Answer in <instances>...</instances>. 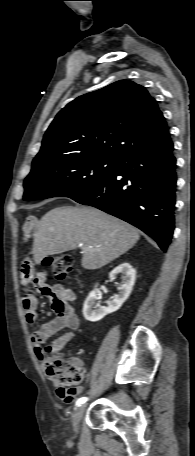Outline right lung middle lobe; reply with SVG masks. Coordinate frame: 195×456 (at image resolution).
<instances>
[{"instance_id": "obj_1", "label": "right lung middle lobe", "mask_w": 195, "mask_h": 456, "mask_svg": "<svg viewBox=\"0 0 195 456\" xmlns=\"http://www.w3.org/2000/svg\"><path fill=\"white\" fill-rule=\"evenodd\" d=\"M118 161L100 157H65L32 166L24 181V200L76 198L90 192L116 170Z\"/></svg>"}]
</instances>
